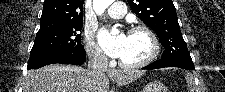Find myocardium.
Listing matches in <instances>:
<instances>
[{
  "instance_id": "myocardium-1",
  "label": "myocardium",
  "mask_w": 225,
  "mask_h": 92,
  "mask_svg": "<svg viewBox=\"0 0 225 92\" xmlns=\"http://www.w3.org/2000/svg\"><path fill=\"white\" fill-rule=\"evenodd\" d=\"M132 32H143L149 37L152 45L151 53L147 58L137 63H126L120 59L119 65L126 69H140L149 65L156 59L160 51V43L155 32L146 25H135L129 30V33Z\"/></svg>"
}]
</instances>
